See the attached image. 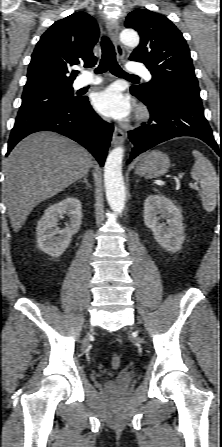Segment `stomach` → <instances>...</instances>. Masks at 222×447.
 Here are the masks:
<instances>
[{
	"label": "stomach",
	"mask_w": 222,
	"mask_h": 447,
	"mask_svg": "<svg viewBox=\"0 0 222 447\" xmlns=\"http://www.w3.org/2000/svg\"><path fill=\"white\" fill-rule=\"evenodd\" d=\"M169 167V157L161 151L153 150L140 158L135 172L146 178H155L164 175Z\"/></svg>",
	"instance_id": "1"
}]
</instances>
